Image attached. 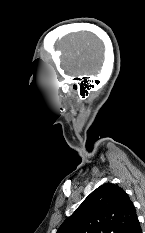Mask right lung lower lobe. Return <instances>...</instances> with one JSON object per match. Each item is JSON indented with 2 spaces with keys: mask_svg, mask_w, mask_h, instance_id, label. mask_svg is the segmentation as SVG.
Instances as JSON below:
<instances>
[{
  "mask_svg": "<svg viewBox=\"0 0 145 233\" xmlns=\"http://www.w3.org/2000/svg\"><path fill=\"white\" fill-rule=\"evenodd\" d=\"M128 233H142V229L138 219L134 222Z\"/></svg>",
  "mask_w": 145,
  "mask_h": 233,
  "instance_id": "1",
  "label": "right lung lower lobe"
}]
</instances>
